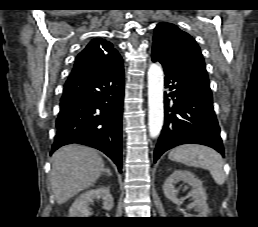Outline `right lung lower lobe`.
<instances>
[{
	"label": "right lung lower lobe",
	"instance_id": "1",
	"mask_svg": "<svg viewBox=\"0 0 258 227\" xmlns=\"http://www.w3.org/2000/svg\"><path fill=\"white\" fill-rule=\"evenodd\" d=\"M124 69L114 57L65 83L52 152L71 143L94 147L122 168Z\"/></svg>",
	"mask_w": 258,
	"mask_h": 227
}]
</instances>
